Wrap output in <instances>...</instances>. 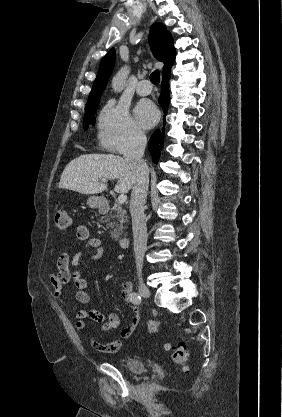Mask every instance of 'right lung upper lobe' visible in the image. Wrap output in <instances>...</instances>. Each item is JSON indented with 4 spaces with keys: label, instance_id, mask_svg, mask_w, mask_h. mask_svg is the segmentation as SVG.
Segmentation results:
<instances>
[{
    "label": "right lung upper lobe",
    "instance_id": "obj_1",
    "mask_svg": "<svg viewBox=\"0 0 282 417\" xmlns=\"http://www.w3.org/2000/svg\"><path fill=\"white\" fill-rule=\"evenodd\" d=\"M149 42L152 47L155 58L164 63L162 73L170 70L175 60V48L173 46V38L166 30L165 25L161 23L153 24L150 34ZM115 64V50L112 48L107 55L102 59L97 77L94 81L90 96L101 95L107 81L112 73Z\"/></svg>",
    "mask_w": 282,
    "mask_h": 417
}]
</instances>
